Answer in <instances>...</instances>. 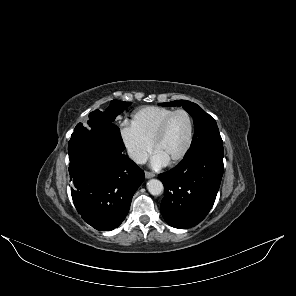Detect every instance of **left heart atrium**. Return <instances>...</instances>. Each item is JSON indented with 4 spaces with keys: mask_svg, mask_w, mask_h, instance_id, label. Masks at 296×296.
Wrapping results in <instances>:
<instances>
[{
    "mask_svg": "<svg viewBox=\"0 0 296 296\" xmlns=\"http://www.w3.org/2000/svg\"><path fill=\"white\" fill-rule=\"evenodd\" d=\"M151 164L153 167H162L167 163L161 157H159L156 153H154L151 160Z\"/></svg>",
    "mask_w": 296,
    "mask_h": 296,
    "instance_id": "39dd6f15",
    "label": "left heart atrium"
}]
</instances>
